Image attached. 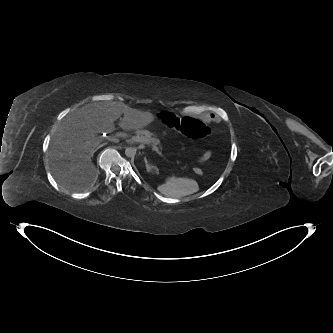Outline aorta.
Returning a JSON list of instances; mask_svg holds the SVG:
<instances>
[{
	"label": "aorta",
	"instance_id": "1",
	"mask_svg": "<svg viewBox=\"0 0 333 333\" xmlns=\"http://www.w3.org/2000/svg\"><path fill=\"white\" fill-rule=\"evenodd\" d=\"M125 155L127 157H134L136 155V148H134V147H127L125 149Z\"/></svg>",
	"mask_w": 333,
	"mask_h": 333
}]
</instances>
